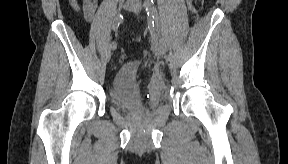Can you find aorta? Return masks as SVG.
<instances>
[{"mask_svg":"<svg viewBox=\"0 0 288 164\" xmlns=\"http://www.w3.org/2000/svg\"><path fill=\"white\" fill-rule=\"evenodd\" d=\"M144 6L147 8V10H149V8H153L154 4L151 2V0H145Z\"/></svg>","mask_w":288,"mask_h":164,"instance_id":"aorta-1","label":"aorta"}]
</instances>
